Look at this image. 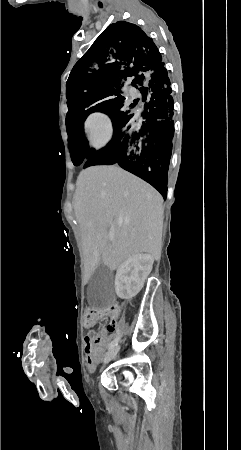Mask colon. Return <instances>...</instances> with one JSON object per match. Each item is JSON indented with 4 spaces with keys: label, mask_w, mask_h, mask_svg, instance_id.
Returning a JSON list of instances; mask_svg holds the SVG:
<instances>
[{
    "label": "colon",
    "mask_w": 241,
    "mask_h": 450,
    "mask_svg": "<svg viewBox=\"0 0 241 450\" xmlns=\"http://www.w3.org/2000/svg\"><path fill=\"white\" fill-rule=\"evenodd\" d=\"M120 310L121 307L115 302H113L107 309L104 308L102 310L100 308H92L88 310V312L84 313V326L92 327L94 323H97L99 321V316L103 312L105 313L107 311V313H110L112 316H117Z\"/></svg>",
    "instance_id": "colon-1"
}]
</instances>
